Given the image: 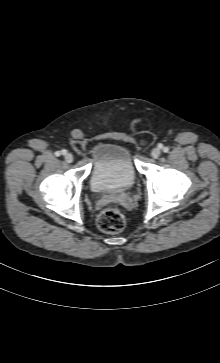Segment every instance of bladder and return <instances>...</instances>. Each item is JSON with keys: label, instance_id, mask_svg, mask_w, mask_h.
<instances>
[{"label": "bladder", "instance_id": "1", "mask_svg": "<svg viewBox=\"0 0 220 363\" xmlns=\"http://www.w3.org/2000/svg\"><path fill=\"white\" fill-rule=\"evenodd\" d=\"M89 185L95 192H123L137 181V168L129 146L118 141H98L92 146Z\"/></svg>", "mask_w": 220, "mask_h": 363}]
</instances>
